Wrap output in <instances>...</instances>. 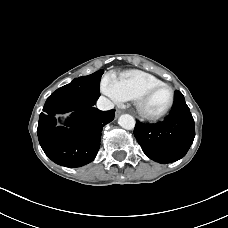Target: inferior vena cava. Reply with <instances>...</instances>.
I'll list each match as a JSON object with an SVG mask.
<instances>
[{
	"instance_id": "obj_1",
	"label": "inferior vena cava",
	"mask_w": 228,
	"mask_h": 228,
	"mask_svg": "<svg viewBox=\"0 0 228 228\" xmlns=\"http://www.w3.org/2000/svg\"><path fill=\"white\" fill-rule=\"evenodd\" d=\"M97 108L100 110H111L114 108V103L104 96H101L97 101Z\"/></svg>"
}]
</instances>
